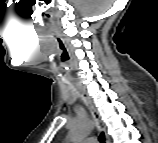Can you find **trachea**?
Instances as JSON below:
<instances>
[{
    "label": "trachea",
    "instance_id": "obj_1",
    "mask_svg": "<svg viewBox=\"0 0 158 143\" xmlns=\"http://www.w3.org/2000/svg\"><path fill=\"white\" fill-rule=\"evenodd\" d=\"M99 141H100L101 143H105V139H104V134H103V133L100 134V136H99Z\"/></svg>",
    "mask_w": 158,
    "mask_h": 143
}]
</instances>
